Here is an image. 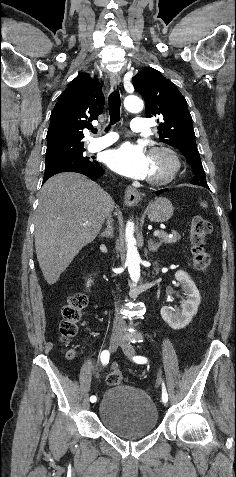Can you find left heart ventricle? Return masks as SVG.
I'll use <instances>...</instances> for the list:
<instances>
[{
	"label": "left heart ventricle",
	"mask_w": 236,
	"mask_h": 477,
	"mask_svg": "<svg viewBox=\"0 0 236 477\" xmlns=\"http://www.w3.org/2000/svg\"><path fill=\"white\" fill-rule=\"evenodd\" d=\"M169 169L166 158L162 155L150 156L149 177L161 176Z\"/></svg>",
	"instance_id": "left-heart-ventricle-1"
}]
</instances>
